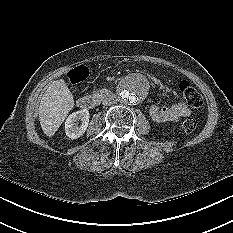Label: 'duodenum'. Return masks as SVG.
Masks as SVG:
<instances>
[{
  "label": "duodenum",
  "mask_w": 233,
  "mask_h": 233,
  "mask_svg": "<svg viewBox=\"0 0 233 233\" xmlns=\"http://www.w3.org/2000/svg\"><path fill=\"white\" fill-rule=\"evenodd\" d=\"M112 96V91L102 89L100 91L95 92V94L81 96L77 100V104L78 107H80L81 109L91 110L99 104L106 102V100L112 98Z\"/></svg>",
  "instance_id": "1"
}]
</instances>
